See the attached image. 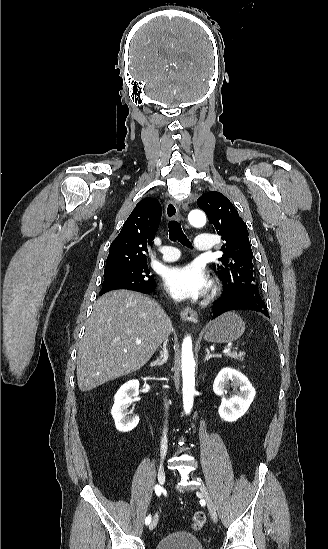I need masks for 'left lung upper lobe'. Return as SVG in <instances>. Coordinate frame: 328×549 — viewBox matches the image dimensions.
Listing matches in <instances>:
<instances>
[{
    "label": "left lung upper lobe",
    "instance_id": "5c2ea615",
    "mask_svg": "<svg viewBox=\"0 0 328 549\" xmlns=\"http://www.w3.org/2000/svg\"><path fill=\"white\" fill-rule=\"evenodd\" d=\"M197 204L206 212L209 222L224 241L221 248L224 254L217 265V274L224 284L223 293L261 301L247 226L238 211L228 198L216 191L203 194Z\"/></svg>",
    "mask_w": 328,
    "mask_h": 549
}]
</instances>
